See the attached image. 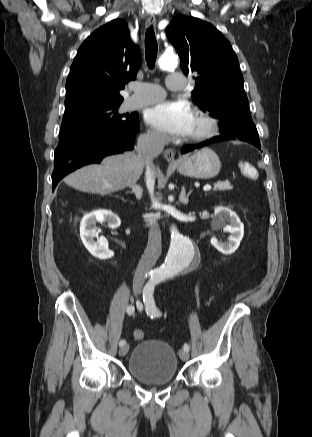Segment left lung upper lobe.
I'll return each mask as SVG.
<instances>
[{"instance_id":"left-lung-upper-lobe-1","label":"left lung upper lobe","mask_w":312,"mask_h":437,"mask_svg":"<svg viewBox=\"0 0 312 437\" xmlns=\"http://www.w3.org/2000/svg\"><path fill=\"white\" fill-rule=\"evenodd\" d=\"M166 34L180 56L183 72L194 74L193 102L219 119L223 135L259 143L230 42L213 25L194 17H174Z\"/></svg>"}]
</instances>
